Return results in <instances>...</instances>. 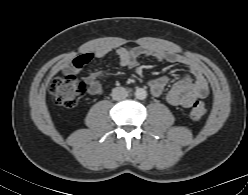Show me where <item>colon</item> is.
I'll return each instance as SVG.
<instances>
[{
    "label": "colon",
    "mask_w": 248,
    "mask_h": 195,
    "mask_svg": "<svg viewBox=\"0 0 248 195\" xmlns=\"http://www.w3.org/2000/svg\"><path fill=\"white\" fill-rule=\"evenodd\" d=\"M84 90V83L71 74L54 78L49 87L50 94L56 103L64 108L74 107L83 95ZM206 112V104L198 100L193 103L190 116L193 119H200Z\"/></svg>",
    "instance_id": "5ec220e1"
}]
</instances>
